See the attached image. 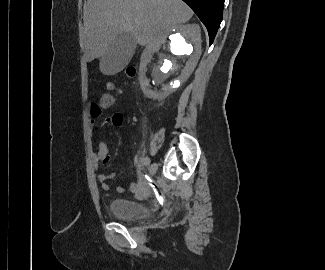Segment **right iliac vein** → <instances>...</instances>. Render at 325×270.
<instances>
[{
	"instance_id": "obj_1",
	"label": "right iliac vein",
	"mask_w": 325,
	"mask_h": 270,
	"mask_svg": "<svg viewBox=\"0 0 325 270\" xmlns=\"http://www.w3.org/2000/svg\"><path fill=\"white\" fill-rule=\"evenodd\" d=\"M148 169H149L150 175H153L157 170V166L155 163H152V164H149Z\"/></svg>"
}]
</instances>
